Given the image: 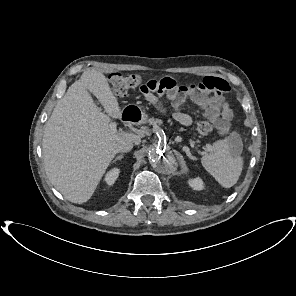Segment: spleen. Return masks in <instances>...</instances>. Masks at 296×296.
Listing matches in <instances>:
<instances>
[{
	"label": "spleen",
	"mask_w": 296,
	"mask_h": 296,
	"mask_svg": "<svg viewBox=\"0 0 296 296\" xmlns=\"http://www.w3.org/2000/svg\"><path fill=\"white\" fill-rule=\"evenodd\" d=\"M241 143L234 133L216 141L212 151L201 158L203 167L225 188L236 184L242 172Z\"/></svg>",
	"instance_id": "spleen-1"
}]
</instances>
